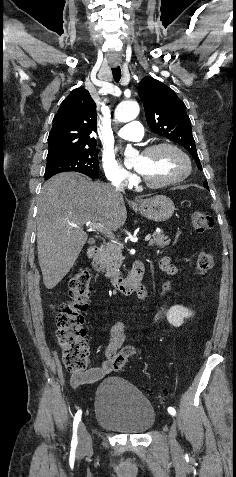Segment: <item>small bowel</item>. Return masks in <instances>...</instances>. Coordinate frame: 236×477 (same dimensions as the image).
I'll use <instances>...</instances> for the list:
<instances>
[{
    "instance_id": "obj_1",
    "label": "small bowel",
    "mask_w": 236,
    "mask_h": 477,
    "mask_svg": "<svg viewBox=\"0 0 236 477\" xmlns=\"http://www.w3.org/2000/svg\"><path fill=\"white\" fill-rule=\"evenodd\" d=\"M162 266L166 271H170L172 268L170 259L164 257L161 260ZM170 289V285H165V290ZM142 296L145 297L146 292L143 290L141 292ZM55 310V307H53ZM124 330V325L121 322L113 324L109 329V338L105 346V358L106 360L99 367L88 369L84 372L74 373L72 375V382L74 385L89 384L95 383L101 380L106 375L112 372V361L119 354H124L125 356H130L133 352L131 347L122 346V333Z\"/></svg>"
}]
</instances>
